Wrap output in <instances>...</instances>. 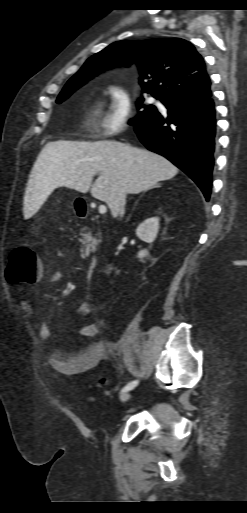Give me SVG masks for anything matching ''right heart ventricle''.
<instances>
[{
	"instance_id": "right-heart-ventricle-1",
	"label": "right heart ventricle",
	"mask_w": 247,
	"mask_h": 513,
	"mask_svg": "<svg viewBox=\"0 0 247 513\" xmlns=\"http://www.w3.org/2000/svg\"><path fill=\"white\" fill-rule=\"evenodd\" d=\"M96 113H97V107H96V106H94V107L92 108V110H91V114H90V121H91V123L93 122L94 117L96 116Z\"/></svg>"
}]
</instances>
